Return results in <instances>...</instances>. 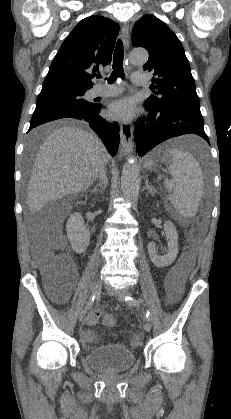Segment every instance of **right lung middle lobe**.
<instances>
[{
  "label": "right lung middle lobe",
  "mask_w": 231,
  "mask_h": 419,
  "mask_svg": "<svg viewBox=\"0 0 231 419\" xmlns=\"http://www.w3.org/2000/svg\"><path fill=\"white\" fill-rule=\"evenodd\" d=\"M85 92L86 90L64 85L45 86L42 88L36 104L62 102L74 105H90V102L82 98Z\"/></svg>",
  "instance_id": "dd1d6c3e"
}]
</instances>
